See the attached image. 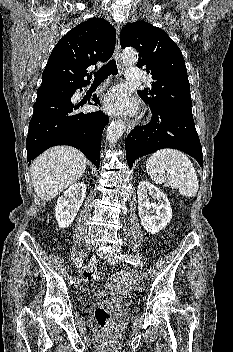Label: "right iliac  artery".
Masks as SVG:
<instances>
[{"instance_id":"82829eb1","label":"right iliac artery","mask_w":233,"mask_h":352,"mask_svg":"<svg viewBox=\"0 0 233 352\" xmlns=\"http://www.w3.org/2000/svg\"><path fill=\"white\" fill-rule=\"evenodd\" d=\"M82 263H83V260L81 257H77L74 261V264L76 267H81L82 266ZM69 283L70 284H73L74 283V278L73 277H69Z\"/></svg>"}]
</instances>
